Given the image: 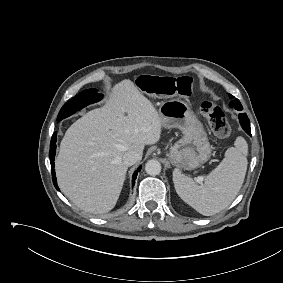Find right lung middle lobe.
<instances>
[{
  "instance_id": "dd1d6c3e",
  "label": "right lung middle lobe",
  "mask_w": 283,
  "mask_h": 283,
  "mask_svg": "<svg viewBox=\"0 0 283 283\" xmlns=\"http://www.w3.org/2000/svg\"><path fill=\"white\" fill-rule=\"evenodd\" d=\"M102 98L101 94L97 93L96 89H87L77 94L74 98L69 100L65 105L61 108L57 121H60L66 117H69L76 111L82 109L83 107L97 102Z\"/></svg>"
}]
</instances>
